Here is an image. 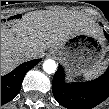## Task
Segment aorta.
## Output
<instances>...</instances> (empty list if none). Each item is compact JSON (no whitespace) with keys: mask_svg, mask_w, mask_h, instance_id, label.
<instances>
[{"mask_svg":"<svg viewBox=\"0 0 109 109\" xmlns=\"http://www.w3.org/2000/svg\"><path fill=\"white\" fill-rule=\"evenodd\" d=\"M43 69L48 74L55 73V71L57 69L56 62L52 59H48V60L44 61Z\"/></svg>","mask_w":109,"mask_h":109,"instance_id":"1","label":"aorta"}]
</instances>
